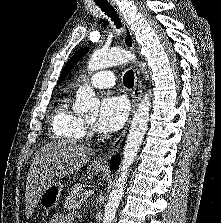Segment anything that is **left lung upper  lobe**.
Wrapping results in <instances>:
<instances>
[{
  "mask_svg": "<svg viewBox=\"0 0 221 223\" xmlns=\"http://www.w3.org/2000/svg\"><path fill=\"white\" fill-rule=\"evenodd\" d=\"M89 48H82L79 51H77L71 58L70 60L66 63L59 81L58 85L64 80V78L67 76V74L71 71V69L77 64L78 61L88 52Z\"/></svg>",
  "mask_w": 221,
  "mask_h": 223,
  "instance_id": "1",
  "label": "left lung upper lobe"
}]
</instances>
